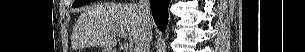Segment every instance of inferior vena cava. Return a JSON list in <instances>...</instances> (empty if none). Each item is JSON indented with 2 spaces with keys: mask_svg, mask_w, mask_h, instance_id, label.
I'll return each mask as SVG.
<instances>
[{
  "mask_svg": "<svg viewBox=\"0 0 305 52\" xmlns=\"http://www.w3.org/2000/svg\"><path fill=\"white\" fill-rule=\"evenodd\" d=\"M138 13L144 26V34L135 47V52H149L152 41V15L149 0H139Z\"/></svg>",
  "mask_w": 305,
  "mask_h": 52,
  "instance_id": "602c4592",
  "label": "inferior vena cava"
}]
</instances>
